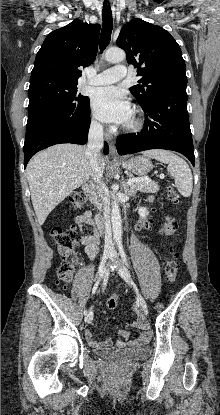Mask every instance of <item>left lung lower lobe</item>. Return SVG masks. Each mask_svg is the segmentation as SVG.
Segmentation results:
<instances>
[{
	"mask_svg": "<svg viewBox=\"0 0 220 415\" xmlns=\"http://www.w3.org/2000/svg\"><path fill=\"white\" fill-rule=\"evenodd\" d=\"M187 98L183 87L158 92L141 106L146 113L143 130L117 138V152L125 155L148 149L173 150L185 155L194 166Z\"/></svg>",
	"mask_w": 220,
	"mask_h": 415,
	"instance_id": "obj_1",
	"label": "left lung lower lobe"
}]
</instances>
